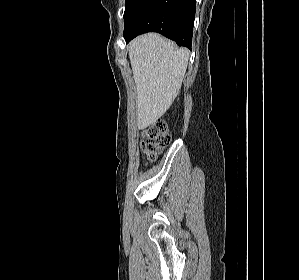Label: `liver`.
<instances>
[{
	"label": "liver",
	"mask_w": 299,
	"mask_h": 280,
	"mask_svg": "<svg viewBox=\"0 0 299 280\" xmlns=\"http://www.w3.org/2000/svg\"><path fill=\"white\" fill-rule=\"evenodd\" d=\"M129 58L137 94V127L154 124L172 105L187 69L189 50L157 33L134 39Z\"/></svg>",
	"instance_id": "6515ba94"
}]
</instances>
